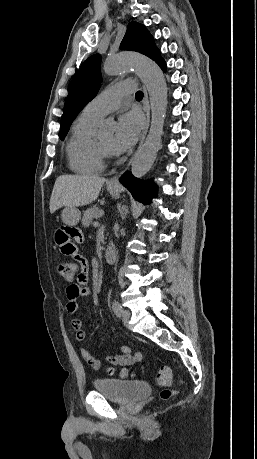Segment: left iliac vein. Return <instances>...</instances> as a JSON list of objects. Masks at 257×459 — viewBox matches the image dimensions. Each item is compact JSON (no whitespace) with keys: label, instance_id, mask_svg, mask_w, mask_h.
<instances>
[{"label":"left iliac vein","instance_id":"1","mask_svg":"<svg viewBox=\"0 0 257 459\" xmlns=\"http://www.w3.org/2000/svg\"><path fill=\"white\" fill-rule=\"evenodd\" d=\"M122 316H123L124 325L127 328H130V325H129V320H130V317H131L130 311L129 310H123L122 311Z\"/></svg>","mask_w":257,"mask_h":459}]
</instances>
